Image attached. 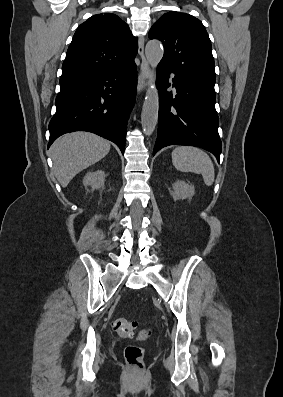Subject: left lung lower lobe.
<instances>
[{"label":"left lung lower lobe","instance_id":"obj_1","mask_svg":"<svg viewBox=\"0 0 283 397\" xmlns=\"http://www.w3.org/2000/svg\"><path fill=\"white\" fill-rule=\"evenodd\" d=\"M170 73V68L158 65V136L153 155L169 145H190L210 151L219 162L222 144L215 92L175 75L172 81L176 92L172 94L167 91Z\"/></svg>","mask_w":283,"mask_h":397}]
</instances>
